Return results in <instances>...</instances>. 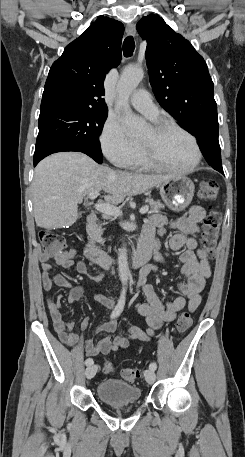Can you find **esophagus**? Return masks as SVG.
<instances>
[{"label": "esophagus", "mask_w": 245, "mask_h": 457, "mask_svg": "<svg viewBox=\"0 0 245 457\" xmlns=\"http://www.w3.org/2000/svg\"><path fill=\"white\" fill-rule=\"evenodd\" d=\"M126 32L129 36H134L136 33L135 25L133 23H129L126 26Z\"/></svg>", "instance_id": "esophagus-1"}]
</instances>
